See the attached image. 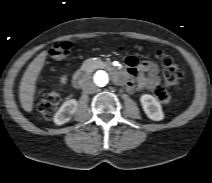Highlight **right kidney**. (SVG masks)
Wrapping results in <instances>:
<instances>
[{
	"label": "right kidney",
	"mask_w": 212,
	"mask_h": 183,
	"mask_svg": "<svg viewBox=\"0 0 212 183\" xmlns=\"http://www.w3.org/2000/svg\"><path fill=\"white\" fill-rule=\"evenodd\" d=\"M77 107L78 103L75 99L65 101L55 114L54 123L56 125H62L68 122L72 118V115L76 112Z\"/></svg>",
	"instance_id": "right-kidney-1"
}]
</instances>
